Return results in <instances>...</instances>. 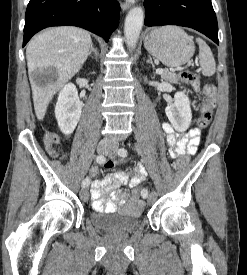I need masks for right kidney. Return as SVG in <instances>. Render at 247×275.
Returning <instances> with one entry per match:
<instances>
[{
  "label": "right kidney",
  "instance_id": "1",
  "mask_svg": "<svg viewBox=\"0 0 247 275\" xmlns=\"http://www.w3.org/2000/svg\"><path fill=\"white\" fill-rule=\"evenodd\" d=\"M83 104L79 100L76 86L69 83L58 95L55 106V117L63 134H71L81 117Z\"/></svg>",
  "mask_w": 247,
  "mask_h": 275
}]
</instances>
